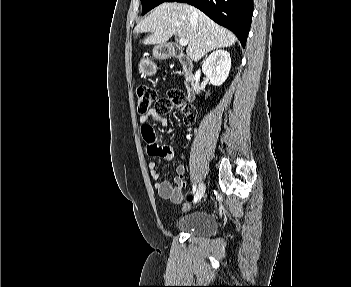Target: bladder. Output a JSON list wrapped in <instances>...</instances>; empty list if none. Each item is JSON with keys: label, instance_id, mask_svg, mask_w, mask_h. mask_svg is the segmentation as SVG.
<instances>
[{"label": "bladder", "instance_id": "31cf9c89", "mask_svg": "<svg viewBox=\"0 0 351 287\" xmlns=\"http://www.w3.org/2000/svg\"><path fill=\"white\" fill-rule=\"evenodd\" d=\"M175 228L187 234L209 236L216 232L218 223L210 212H194L179 219Z\"/></svg>", "mask_w": 351, "mask_h": 287}]
</instances>
